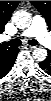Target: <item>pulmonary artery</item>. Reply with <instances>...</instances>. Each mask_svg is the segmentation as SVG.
Listing matches in <instances>:
<instances>
[{
    "mask_svg": "<svg viewBox=\"0 0 51 101\" xmlns=\"http://www.w3.org/2000/svg\"><path fill=\"white\" fill-rule=\"evenodd\" d=\"M28 35H36L38 38L42 37L41 27L37 23H33V25L26 32Z\"/></svg>",
    "mask_w": 51,
    "mask_h": 101,
    "instance_id": "e3ab8cb5",
    "label": "pulmonary artery"
}]
</instances>
